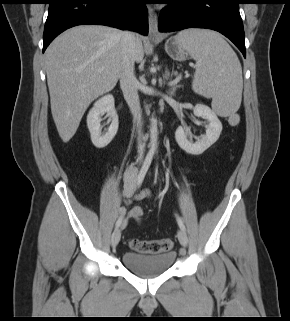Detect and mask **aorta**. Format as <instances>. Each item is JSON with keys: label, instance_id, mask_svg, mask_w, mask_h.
Returning <instances> with one entry per match:
<instances>
[{"label": "aorta", "instance_id": "1", "mask_svg": "<svg viewBox=\"0 0 290 321\" xmlns=\"http://www.w3.org/2000/svg\"><path fill=\"white\" fill-rule=\"evenodd\" d=\"M157 140H158L157 120L152 118L150 123V144H151L152 150L156 149Z\"/></svg>", "mask_w": 290, "mask_h": 321}]
</instances>
